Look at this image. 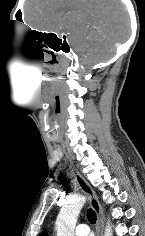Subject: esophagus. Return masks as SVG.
Returning <instances> with one entry per match:
<instances>
[{
	"instance_id": "34e87169",
	"label": "esophagus",
	"mask_w": 145,
	"mask_h": 236,
	"mask_svg": "<svg viewBox=\"0 0 145 236\" xmlns=\"http://www.w3.org/2000/svg\"><path fill=\"white\" fill-rule=\"evenodd\" d=\"M69 164H70L71 173L74 176V179L76 180L80 189L88 196L89 203L97 215L96 236H103V227H104L103 211L98 201V198L94 190L90 186V184L85 180V178L80 174V172L74 167L71 159H69Z\"/></svg>"
}]
</instances>
